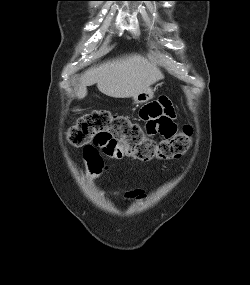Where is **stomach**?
Masks as SVG:
<instances>
[{
	"label": "stomach",
	"instance_id": "stomach-1",
	"mask_svg": "<svg viewBox=\"0 0 250 285\" xmlns=\"http://www.w3.org/2000/svg\"><path fill=\"white\" fill-rule=\"evenodd\" d=\"M154 92L151 88L133 96V100L137 104H143L153 98Z\"/></svg>",
	"mask_w": 250,
	"mask_h": 285
}]
</instances>
